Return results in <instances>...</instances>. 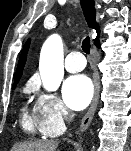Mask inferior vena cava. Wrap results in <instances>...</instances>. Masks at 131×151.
<instances>
[{
    "label": "inferior vena cava",
    "instance_id": "obj_1",
    "mask_svg": "<svg viewBox=\"0 0 131 151\" xmlns=\"http://www.w3.org/2000/svg\"><path fill=\"white\" fill-rule=\"evenodd\" d=\"M71 120H72V116H69V117L67 118V121L70 122Z\"/></svg>",
    "mask_w": 131,
    "mask_h": 151
}]
</instances>
